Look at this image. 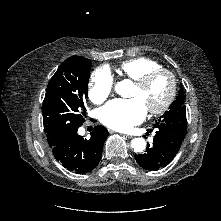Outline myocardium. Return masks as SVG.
Instances as JSON below:
<instances>
[{
	"label": "myocardium",
	"instance_id": "myocardium-1",
	"mask_svg": "<svg viewBox=\"0 0 221 221\" xmlns=\"http://www.w3.org/2000/svg\"><path fill=\"white\" fill-rule=\"evenodd\" d=\"M161 75H165L168 77L169 79V91L168 94L165 98V100L163 101V103L157 107H150L147 108L149 113L152 115H159L162 114L164 112H166L169 107L171 106V104L173 103L176 94H177V79L175 74L168 69L165 68H158L155 69L145 75H143L142 77H140L139 79H137L135 81V85L141 89L147 87L150 83H152L157 77L161 76Z\"/></svg>",
	"mask_w": 221,
	"mask_h": 221
}]
</instances>
